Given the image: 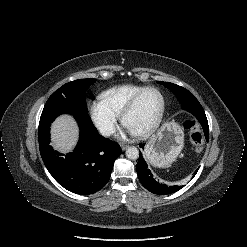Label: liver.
Returning a JSON list of instances; mask_svg holds the SVG:
<instances>
[{"label":"liver","mask_w":247,"mask_h":247,"mask_svg":"<svg viewBox=\"0 0 247 247\" xmlns=\"http://www.w3.org/2000/svg\"><path fill=\"white\" fill-rule=\"evenodd\" d=\"M52 145L61 152L72 150L78 138V127L69 115L59 117L52 125Z\"/></svg>","instance_id":"6515ba94"}]
</instances>
